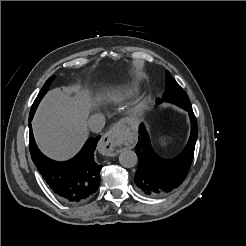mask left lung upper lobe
Wrapping results in <instances>:
<instances>
[{
    "mask_svg": "<svg viewBox=\"0 0 246 246\" xmlns=\"http://www.w3.org/2000/svg\"><path fill=\"white\" fill-rule=\"evenodd\" d=\"M158 103L167 101L174 103L180 107L191 105L187 94L181 86L171 77L170 73L166 71V90L162 100L157 99Z\"/></svg>",
    "mask_w": 246,
    "mask_h": 246,
    "instance_id": "left-lung-upper-lobe-1",
    "label": "left lung upper lobe"
}]
</instances>
